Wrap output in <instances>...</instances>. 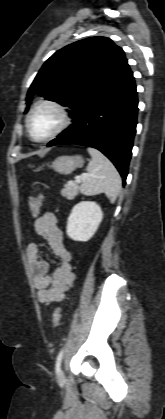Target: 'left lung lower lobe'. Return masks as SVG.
Instances as JSON below:
<instances>
[{"label": "left lung lower lobe", "mask_w": 165, "mask_h": 419, "mask_svg": "<svg viewBox=\"0 0 165 419\" xmlns=\"http://www.w3.org/2000/svg\"><path fill=\"white\" fill-rule=\"evenodd\" d=\"M138 100L133 73L127 66L73 116V124L47 147L79 144L100 150L116 166L125 184L136 132Z\"/></svg>", "instance_id": "obj_1"}]
</instances>
